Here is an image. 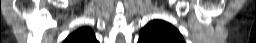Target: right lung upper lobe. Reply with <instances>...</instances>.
<instances>
[{
  "instance_id": "1",
  "label": "right lung upper lobe",
  "mask_w": 256,
  "mask_h": 43,
  "mask_svg": "<svg viewBox=\"0 0 256 43\" xmlns=\"http://www.w3.org/2000/svg\"><path fill=\"white\" fill-rule=\"evenodd\" d=\"M63 43H98L94 32L87 27L80 28L70 34Z\"/></svg>"
}]
</instances>
